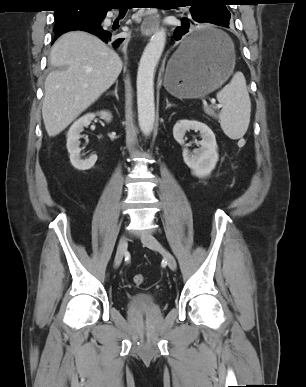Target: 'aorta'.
I'll list each match as a JSON object with an SVG mask.
<instances>
[{
	"mask_svg": "<svg viewBox=\"0 0 306 387\" xmlns=\"http://www.w3.org/2000/svg\"><path fill=\"white\" fill-rule=\"evenodd\" d=\"M166 43L165 29L158 30L146 45L137 72L138 123L144 135H150L155 121L154 76Z\"/></svg>",
	"mask_w": 306,
	"mask_h": 387,
	"instance_id": "obj_1",
	"label": "aorta"
}]
</instances>
